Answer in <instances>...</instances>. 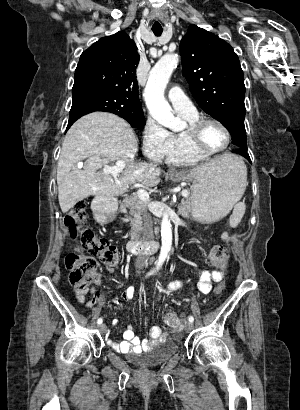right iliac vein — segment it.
I'll return each instance as SVG.
<instances>
[{"label": "right iliac vein", "mask_w": 300, "mask_h": 410, "mask_svg": "<svg viewBox=\"0 0 300 410\" xmlns=\"http://www.w3.org/2000/svg\"><path fill=\"white\" fill-rule=\"evenodd\" d=\"M98 329H99V331H100L101 333H105L106 330H107V327H106L105 324H101V325L98 327Z\"/></svg>", "instance_id": "right-iliac-vein-1"}]
</instances>
